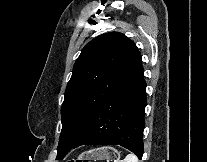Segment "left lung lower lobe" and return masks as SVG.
I'll use <instances>...</instances> for the list:
<instances>
[{"label": "left lung lower lobe", "instance_id": "obj_1", "mask_svg": "<svg viewBox=\"0 0 207 162\" xmlns=\"http://www.w3.org/2000/svg\"><path fill=\"white\" fill-rule=\"evenodd\" d=\"M146 104V83L141 65L97 109L71 149L81 145H120L141 159Z\"/></svg>", "mask_w": 207, "mask_h": 162}]
</instances>
